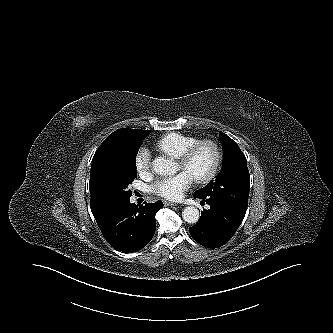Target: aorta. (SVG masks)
<instances>
[{
    "mask_svg": "<svg viewBox=\"0 0 333 333\" xmlns=\"http://www.w3.org/2000/svg\"><path fill=\"white\" fill-rule=\"evenodd\" d=\"M153 171L162 176L174 174L178 170L177 164L165 157H157L152 163ZM199 210L194 206H187L182 212V218L185 222L194 224L199 220Z\"/></svg>",
    "mask_w": 333,
    "mask_h": 333,
    "instance_id": "762f6f07",
    "label": "aorta"
}]
</instances>
